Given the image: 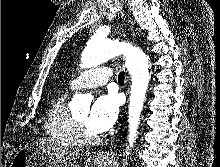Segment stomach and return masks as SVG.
Returning a JSON list of instances; mask_svg holds the SVG:
<instances>
[{
	"mask_svg": "<svg viewBox=\"0 0 220 167\" xmlns=\"http://www.w3.org/2000/svg\"><path fill=\"white\" fill-rule=\"evenodd\" d=\"M97 167H108L110 158L96 160ZM11 167H77L68 162H59L49 158L42 150L34 146H26L20 149L14 156Z\"/></svg>",
	"mask_w": 220,
	"mask_h": 167,
	"instance_id": "1",
	"label": "stomach"
}]
</instances>
